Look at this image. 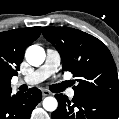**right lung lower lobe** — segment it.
Segmentation results:
<instances>
[{
	"mask_svg": "<svg viewBox=\"0 0 119 119\" xmlns=\"http://www.w3.org/2000/svg\"><path fill=\"white\" fill-rule=\"evenodd\" d=\"M12 89L0 92V119H30L35 106L41 101L42 93L31 88L27 93L11 95Z\"/></svg>",
	"mask_w": 119,
	"mask_h": 119,
	"instance_id": "1",
	"label": "right lung lower lobe"
}]
</instances>
